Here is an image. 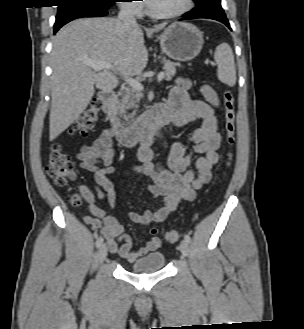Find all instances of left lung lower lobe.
I'll return each instance as SVG.
<instances>
[{
	"label": "left lung lower lobe",
	"mask_w": 304,
	"mask_h": 329,
	"mask_svg": "<svg viewBox=\"0 0 304 329\" xmlns=\"http://www.w3.org/2000/svg\"><path fill=\"white\" fill-rule=\"evenodd\" d=\"M221 0H197V7L184 14L181 20L208 18L222 22L230 28L228 19L220 4ZM230 30H232L230 28Z\"/></svg>",
	"instance_id": "obj_1"
}]
</instances>
